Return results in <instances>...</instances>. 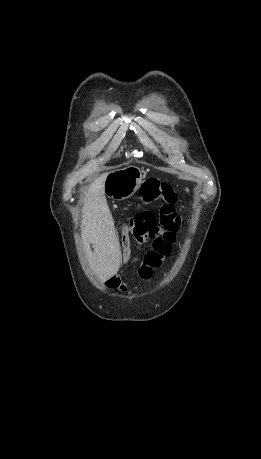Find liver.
I'll list each match as a JSON object with an SVG mask.
<instances>
[{
    "label": "liver",
    "instance_id": "1",
    "mask_svg": "<svg viewBox=\"0 0 261 459\" xmlns=\"http://www.w3.org/2000/svg\"><path fill=\"white\" fill-rule=\"evenodd\" d=\"M107 174L97 177L87 188L81 225L84 247L88 249L89 244L93 247V253L88 256L90 266L101 281L116 275L121 265L120 246L104 197Z\"/></svg>",
    "mask_w": 261,
    "mask_h": 459
}]
</instances>
